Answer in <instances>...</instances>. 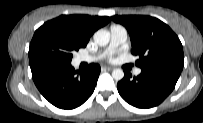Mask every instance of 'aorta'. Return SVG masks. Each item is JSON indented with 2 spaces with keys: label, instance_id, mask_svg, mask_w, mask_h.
<instances>
[{
  "label": "aorta",
  "instance_id": "762f6f07",
  "mask_svg": "<svg viewBox=\"0 0 203 123\" xmlns=\"http://www.w3.org/2000/svg\"><path fill=\"white\" fill-rule=\"evenodd\" d=\"M93 38L95 43H97L99 46H106L110 41V32L104 29H100L94 33ZM112 77L116 81L123 79L124 77L123 70L120 68L114 69L112 72Z\"/></svg>",
  "mask_w": 203,
  "mask_h": 123
}]
</instances>
